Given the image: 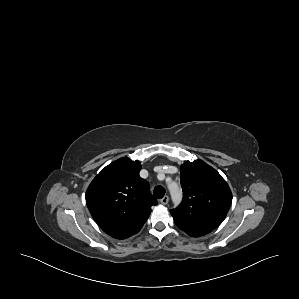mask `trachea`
I'll use <instances>...</instances> for the list:
<instances>
[{"label": "trachea", "instance_id": "1", "mask_svg": "<svg viewBox=\"0 0 299 299\" xmlns=\"http://www.w3.org/2000/svg\"><path fill=\"white\" fill-rule=\"evenodd\" d=\"M153 193L155 198L161 199L165 195V188L163 186L158 185L154 188Z\"/></svg>", "mask_w": 299, "mask_h": 299}]
</instances>
